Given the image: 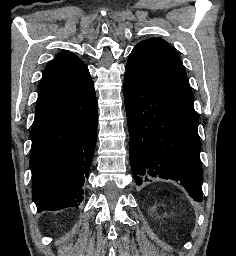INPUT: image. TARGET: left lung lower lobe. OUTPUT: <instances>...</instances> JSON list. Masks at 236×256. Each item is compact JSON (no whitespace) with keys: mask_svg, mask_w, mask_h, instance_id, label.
Wrapping results in <instances>:
<instances>
[{"mask_svg":"<svg viewBox=\"0 0 236 256\" xmlns=\"http://www.w3.org/2000/svg\"><path fill=\"white\" fill-rule=\"evenodd\" d=\"M124 101L135 183L175 180L201 202L203 170L194 105L127 73Z\"/></svg>","mask_w":236,"mask_h":256,"instance_id":"left-lung-lower-lobe-1","label":"left lung lower lobe"}]
</instances>
